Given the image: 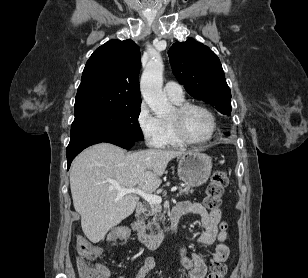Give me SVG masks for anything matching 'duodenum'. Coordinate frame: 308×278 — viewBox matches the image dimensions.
Masks as SVG:
<instances>
[{
  "mask_svg": "<svg viewBox=\"0 0 308 278\" xmlns=\"http://www.w3.org/2000/svg\"><path fill=\"white\" fill-rule=\"evenodd\" d=\"M143 210H144L143 204H138L136 206L135 213H134L135 217L137 218L143 212ZM178 220H179V216L174 212V210H172L171 215H170V226L165 232L158 233V234H148V233L142 232L139 229L137 222L133 223V229L135 230L137 238L141 243H143L149 248L154 249V248H157L163 242L168 232H171L176 228Z\"/></svg>",
  "mask_w": 308,
  "mask_h": 278,
  "instance_id": "obj_1",
  "label": "duodenum"
}]
</instances>
